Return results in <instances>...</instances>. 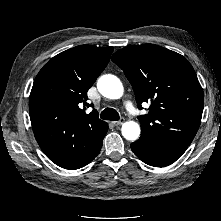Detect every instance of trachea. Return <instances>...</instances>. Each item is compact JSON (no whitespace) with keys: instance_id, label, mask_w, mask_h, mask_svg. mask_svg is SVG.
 <instances>
[{"instance_id":"obj_1","label":"trachea","mask_w":221,"mask_h":221,"mask_svg":"<svg viewBox=\"0 0 221 221\" xmlns=\"http://www.w3.org/2000/svg\"><path fill=\"white\" fill-rule=\"evenodd\" d=\"M100 118L104 119V120L118 121L119 120V114L113 108H106L101 112Z\"/></svg>"}]
</instances>
